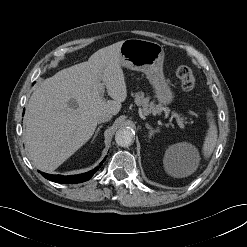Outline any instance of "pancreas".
<instances>
[{
  "label": "pancreas",
  "instance_id": "1",
  "mask_svg": "<svg viewBox=\"0 0 247 247\" xmlns=\"http://www.w3.org/2000/svg\"><path fill=\"white\" fill-rule=\"evenodd\" d=\"M135 103L138 106L142 107V111L145 115L151 114V113H156L158 110L161 109V106L155 105L154 102H150L149 97H144V94L141 92L135 93Z\"/></svg>",
  "mask_w": 247,
  "mask_h": 247
}]
</instances>
